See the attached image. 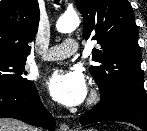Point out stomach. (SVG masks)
I'll return each instance as SVG.
<instances>
[{
  "label": "stomach",
  "mask_w": 147,
  "mask_h": 131,
  "mask_svg": "<svg viewBox=\"0 0 147 131\" xmlns=\"http://www.w3.org/2000/svg\"><path fill=\"white\" fill-rule=\"evenodd\" d=\"M86 131H96V130H94V129H88V130H86Z\"/></svg>",
  "instance_id": "0dacf381"
}]
</instances>
